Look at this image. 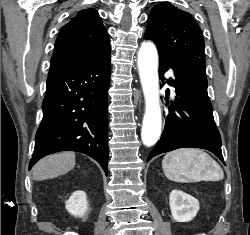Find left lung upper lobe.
<instances>
[{
  "instance_id": "5c2ea615",
  "label": "left lung upper lobe",
  "mask_w": 250,
  "mask_h": 235,
  "mask_svg": "<svg viewBox=\"0 0 250 235\" xmlns=\"http://www.w3.org/2000/svg\"><path fill=\"white\" fill-rule=\"evenodd\" d=\"M145 39L152 40L159 58L180 61L204 58V39L192 15L175 6L161 2L155 5L148 17Z\"/></svg>"
}]
</instances>
